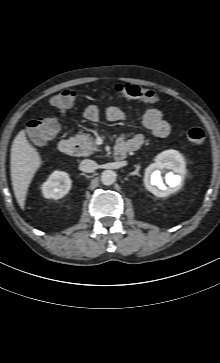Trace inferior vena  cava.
I'll return each mask as SVG.
<instances>
[{"label": "inferior vena cava", "instance_id": "obj_1", "mask_svg": "<svg viewBox=\"0 0 220 363\" xmlns=\"http://www.w3.org/2000/svg\"><path fill=\"white\" fill-rule=\"evenodd\" d=\"M98 169V164L90 159H84L80 163V170L90 173Z\"/></svg>", "mask_w": 220, "mask_h": 363}]
</instances>
